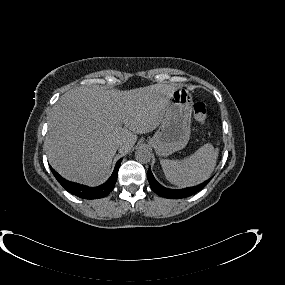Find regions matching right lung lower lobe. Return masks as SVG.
Wrapping results in <instances>:
<instances>
[{
	"label": "right lung lower lobe",
	"mask_w": 285,
	"mask_h": 285,
	"mask_svg": "<svg viewBox=\"0 0 285 285\" xmlns=\"http://www.w3.org/2000/svg\"><path fill=\"white\" fill-rule=\"evenodd\" d=\"M122 162L120 159L114 168V171L111 177L108 179L106 183L98 187H88L85 185H80L77 183L70 182L64 178H62L52 167H50L52 173L58 182L67 190L69 193L83 198V199H99L107 196L114 188L115 183L117 181L119 166Z\"/></svg>",
	"instance_id": "98d812e1"
}]
</instances>
